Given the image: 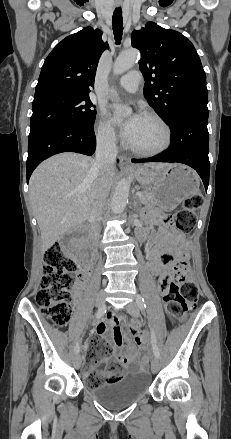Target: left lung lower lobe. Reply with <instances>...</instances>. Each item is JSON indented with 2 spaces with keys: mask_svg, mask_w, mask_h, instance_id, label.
I'll list each match as a JSON object with an SVG mask.
<instances>
[{
  "mask_svg": "<svg viewBox=\"0 0 231 439\" xmlns=\"http://www.w3.org/2000/svg\"><path fill=\"white\" fill-rule=\"evenodd\" d=\"M207 123L208 108H187L176 113L169 123L172 130L170 147L154 157L133 159L132 162H178L186 164L197 171L207 190L210 172Z\"/></svg>",
  "mask_w": 231,
  "mask_h": 439,
  "instance_id": "0a47b994",
  "label": "left lung lower lobe"
}]
</instances>
